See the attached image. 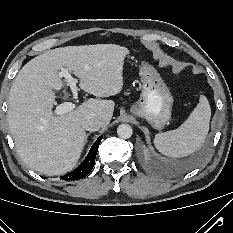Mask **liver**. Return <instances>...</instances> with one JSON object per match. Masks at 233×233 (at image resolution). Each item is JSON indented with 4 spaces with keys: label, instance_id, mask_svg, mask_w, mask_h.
I'll return each instance as SVG.
<instances>
[{
    "label": "liver",
    "instance_id": "liver-1",
    "mask_svg": "<svg viewBox=\"0 0 233 233\" xmlns=\"http://www.w3.org/2000/svg\"><path fill=\"white\" fill-rule=\"evenodd\" d=\"M129 50L115 44L66 46L48 50L26 63L14 79L8 100V125L16 150L32 170L62 175L77 164L86 133L81 121L93 114L107 126L112 100L88 99L70 112L54 115L55 91L63 88L60 70L79 78L80 88L98 98L123 88V64Z\"/></svg>",
    "mask_w": 233,
    "mask_h": 233
}]
</instances>
